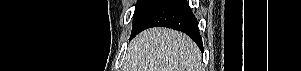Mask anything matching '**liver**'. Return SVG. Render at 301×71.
Wrapping results in <instances>:
<instances>
[{"instance_id": "liver-1", "label": "liver", "mask_w": 301, "mask_h": 71, "mask_svg": "<svg viewBox=\"0 0 301 71\" xmlns=\"http://www.w3.org/2000/svg\"><path fill=\"white\" fill-rule=\"evenodd\" d=\"M126 71H202L201 51L186 34L151 28L131 41Z\"/></svg>"}]
</instances>
